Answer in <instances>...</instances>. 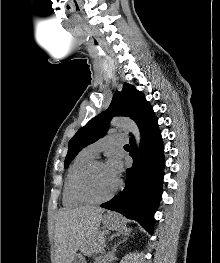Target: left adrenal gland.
<instances>
[{"label":"left adrenal gland","mask_w":220,"mask_h":263,"mask_svg":"<svg viewBox=\"0 0 220 263\" xmlns=\"http://www.w3.org/2000/svg\"><path fill=\"white\" fill-rule=\"evenodd\" d=\"M130 231H131V229H125V231L124 232H121V233H117V234H115V236H120V234H122V235H129V233H130Z\"/></svg>","instance_id":"1"}]
</instances>
